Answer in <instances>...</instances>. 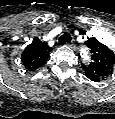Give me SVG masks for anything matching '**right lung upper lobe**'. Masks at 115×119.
Instances as JSON below:
<instances>
[{
    "mask_svg": "<svg viewBox=\"0 0 115 119\" xmlns=\"http://www.w3.org/2000/svg\"><path fill=\"white\" fill-rule=\"evenodd\" d=\"M51 50L46 43L34 38L23 51L21 60L28 71H34L46 63Z\"/></svg>",
    "mask_w": 115,
    "mask_h": 119,
    "instance_id": "right-lung-upper-lobe-1",
    "label": "right lung upper lobe"
}]
</instances>
